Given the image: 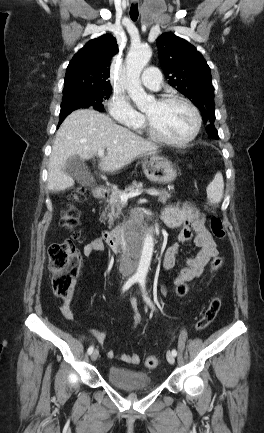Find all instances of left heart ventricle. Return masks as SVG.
Here are the masks:
<instances>
[{
    "label": "left heart ventricle",
    "instance_id": "left-heart-ventricle-1",
    "mask_svg": "<svg viewBox=\"0 0 264 433\" xmlns=\"http://www.w3.org/2000/svg\"><path fill=\"white\" fill-rule=\"evenodd\" d=\"M144 112L162 134L174 140L186 138L194 128L192 112L181 103L161 105L154 102Z\"/></svg>",
    "mask_w": 264,
    "mask_h": 433
}]
</instances>
